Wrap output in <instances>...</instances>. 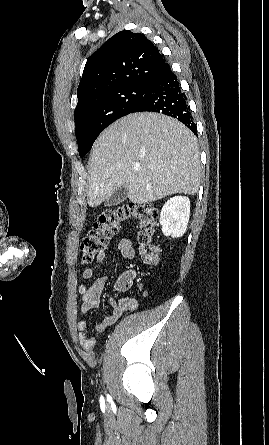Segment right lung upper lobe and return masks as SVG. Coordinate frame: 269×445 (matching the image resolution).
I'll list each match as a JSON object with an SVG mask.
<instances>
[{"mask_svg":"<svg viewBox=\"0 0 269 445\" xmlns=\"http://www.w3.org/2000/svg\"><path fill=\"white\" fill-rule=\"evenodd\" d=\"M168 64L141 33L120 31L88 59L80 80L79 109L85 102L127 85H148Z\"/></svg>","mask_w":269,"mask_h":445,"instance_id":"cb5924a9","label":"right lung upper lobe"}]
</instances>
